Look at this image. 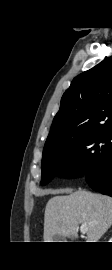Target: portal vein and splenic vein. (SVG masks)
Listing matches in <instances>:
<instances>
[{
	"instance_id": "1",
	"label": "portal vein and splenic vein",
	"mask_w": 112,
	"mask_h": 270,
	"mask_svg": "<svg viewBox=\"0 0 112 270\" xmlns=\"http://www.w3.org/2000/svg\"><path fill=\"white\" fill-rule=\"evenodd\" d=\"M87 230H88L87 224H86V223L81 224V226H80V231H81L82 233H86Z\"/></svg>"
}]
</instances>
